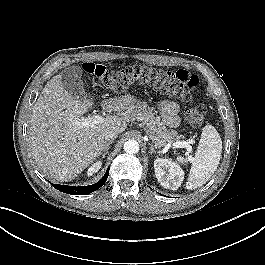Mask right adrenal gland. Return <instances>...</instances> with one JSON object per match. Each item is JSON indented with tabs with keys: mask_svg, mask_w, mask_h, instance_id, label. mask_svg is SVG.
Returning a JSON list of instances; mask_svg holds the SVG:
<instances>
[{
	"mask_svg": "<svg viewBox=\"0 0 265 265\" xmlns=\"http://www.w3.org/2000/svg\"><path fill=\"white\" fill-rule=\"evenodd\" d=\"M113 142V140H109L102 151V158H105V155L108 153V150L110 149V144Z\"/></svg>",
	"mask_w": 265,
	"mask_h": 265,
	"instance_id": "right-adrenal-gland-1",
	"label": "right adrenal gland"
}]
</instances>
